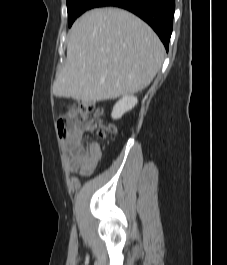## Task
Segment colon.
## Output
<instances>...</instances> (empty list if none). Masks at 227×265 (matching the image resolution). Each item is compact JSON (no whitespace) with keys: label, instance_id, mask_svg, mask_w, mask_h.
I'll return each instance as SVG.
<instances>
[{"label":"colon","instance_id":"obj_1","mask_svg":"<svg viewBox=\"0 0 227 265\" xmlns=\"http://www.w3.org/2000/svg\"><path fill=\"white\" fill-rule=\"evenodd\" d=\"M77 111L81 120L91 121V131L95 130L98 138H106L115 132L112 124H105L102 121L103 109L98 107L95 102H81L77 105ZM70 122L67 118H60L58 121V131L60 137L65 140L70 130ZM91 143L88 147L93 146Z\"/></svg>","mask_w":227,"mask_h":265}]
</instances>
